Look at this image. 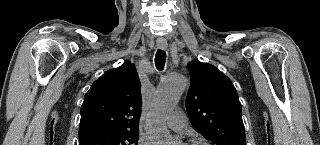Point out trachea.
Wrapping results in <instances>:
<instances>
[{
	"label": "trachea",
	"instance_id": "3493384b",
	"mask_svg": "<svg viewBox=\"0 0 320 145\" xmlns=\"http://www.w3.org/2000/svg\"><path fill=\"white\" fill-rule=\"evenodd\" d=\"M166 52L164 50L158 49L155 55V66L159 71H162L165 66Z\"/></svg>",
	"mask_w": 320,
	"mask_h": 145
}]
</instances>
